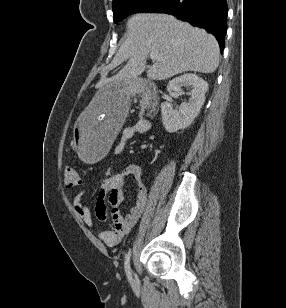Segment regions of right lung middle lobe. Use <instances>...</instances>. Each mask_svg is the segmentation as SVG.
<instances>
[{
  "label": "right lung middle lobe",
  "mask_w": 286,
  "mask_h": 308,
  "mask_svg": "<svg viewBox=\"0 0 286 308\" xmlns=\"http://www.w3.org/2000/svg\"><path fill=\"white\" fill-rule=\"evenodd\" d=\"M167 0H120L113 4L114 22L117 23L128 15L140 12H152Z\"/></svg>",
  "instance_id": "obj_1"
}]
</instances>
